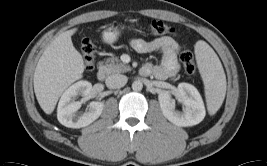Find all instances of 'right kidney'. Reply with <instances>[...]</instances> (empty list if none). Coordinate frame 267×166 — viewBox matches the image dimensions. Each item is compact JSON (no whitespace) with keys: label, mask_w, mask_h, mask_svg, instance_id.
I'll return each mask as SVG.
<instances>
[{"label":"right kidney","mask_w":267,"mask_h":166,"mask_svg":"<svg viewBox=\"0 0 267 166\" xmlns=\"http://www.w3.org/2000/svg\"><path fill=\"white\" fill-rule=\"evenodd\" d=\"M92 84L88 81H78L70 86L61 96L57 108L58 121L69 128H82L95 121L102 113L104 103L91 102L89 109L84 114L77 116L76 112L81 108L82 102L75 101L76 96L84 99L90 94Z\"/></svg>","instance_id":"1"}]
</instances>
